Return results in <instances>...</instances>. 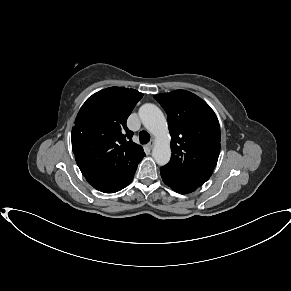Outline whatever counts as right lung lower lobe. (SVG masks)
<instances>
[{
  "mask_svg": "<svg viewBox=\"0 0 291 291\" xmlns=\"http://www.w3.org/2000/svg\"><path fill=\"white\" fill-rule=\"evenodd\" d=\"M138 163H136L135 165L130 167L127 171L119 175L88 177L86 178V180L95 189L101 192L114 193L125 188L132 181L133 176L136 172Z\"/></svg>",
  "mask_w": 291,
  "mask_h": 291,
  "instance_id": "98d812e1",
  "label": "right lung lower lobe"
}]
</instances>
